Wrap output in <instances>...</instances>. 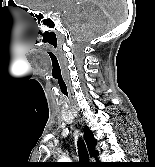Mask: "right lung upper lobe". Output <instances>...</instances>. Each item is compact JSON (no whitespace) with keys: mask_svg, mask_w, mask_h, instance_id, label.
<instances>
[{"mask_svg":"<svg viewBox=\"0 0 155 167\" xmlns=\"http://www.w3.org/2000/svg\"><path fill=\"white\" fill-rule=\"evenodd\" d=\"M83 130H84V138L86 140L90 156L95 157V159H97L98 152L95 150V146L97 144V141L94 138L92 131L87 126H85ZM92 165H94V167H97V166L101 165V163L97 161L95 163H92ZM54 166H55L54 163H47L46 164V167H54Z\"/></svg>","mask_w":155,"mask_h":167,"instance_id":"1","label":"right lung upper lobe"}]
</instances>
